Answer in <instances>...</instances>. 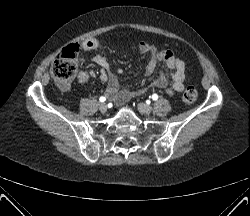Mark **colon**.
I'll return each instance as SVG.
<instances>
[{"label":"colon","mask_w":250,"mask_h":216,"mask_svg":"<svg viewBox=\"0 0 250 216\" xmlns=\"http://www.w3.org/2000/svg\"><path fill=\"white\" fill-rule=\"evenodd\" d=\"M78 51V45H70L62 50L51 67L55 79L64 82L74 77L77 68ZM197 97L198 92L192 85L187 86L182 95V99L186 103L195 102Z\"/></svg>","instance_id":"1"}]
</instances>
